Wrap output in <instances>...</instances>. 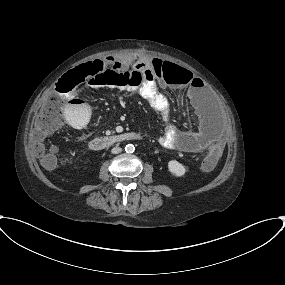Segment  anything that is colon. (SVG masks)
<instances>
[{
	"label": "colon",
	"mask_w": 285,
	"mask_h": 285,
	"mask_svg": "<svg viewBox=\"0 0 285 285\" xmlns=\"http://www.w3.org/2000/svg\"><path fill=\"white\" fill-rule=\"evenodd\" d=\"M185 72L184 68L165 63L164 69L159 75L168 77L171 74H185ZM93 79H98L106 86L116 90L138 92L142 88L144 74L136 69H119L117 63L110 62L108 59L89 61L65 73L60 81L59 93L49 95L32 120L31 140L36 151L42 154V164L45 168H53L58 163L54 153L47 148L46 140L50 134L59 130L66 123L63 98L73 95L76 86ZM66 80L71 83L63 87L62 83ZM88 122V120H83L80 126H85ZM220 156L221 152L214 150L203 160L202 169L204 171L212 170Z\"/></svg>",
	"instance_id": "1"
}]
</instances>
